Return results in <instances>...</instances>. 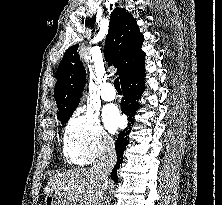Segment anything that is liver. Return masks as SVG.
Instances as JSON below:
<instances>
[{
  "instance_id": "liver-1",
  "label": "liver",
  "mask_w": 222,
  "mask_h": 205,
  "mask_svg": "<svg viewBox=\"0 0 222 205\" xmlns=\"http://www.w3.org/2000/svg\"><path fill=\"white\" fill-rule=\"evenodd\" d=\"M106 188L93 169H71L51 178L44 194H53L66 203L101 205Z\"/></svg>"
}]
</instances>
